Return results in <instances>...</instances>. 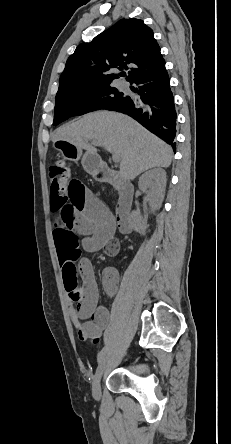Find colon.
<instances>
[{
  "label": "colon",
  "mask_w": 231,
  "mask_h": 444,
  "mask_svg": "<svg viewBox=\"0 0 231 444\" xmlns=\"http://www.w3.org/2000/svg\"><path fill=\"white\" fill-rule=\"evenodd\" d=\"M51 195L57 200L65 199L68 196L70 184L73 178L65 162L55 163L50 170Z\"/></svg>",
  "instance_id": "1"
}]
</instances>
